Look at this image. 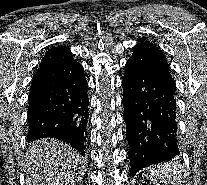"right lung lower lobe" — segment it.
Masks as SVG:
<instances>
[{"label":"right lung lower lobe","instance_id":"1","mask_svg":"<svg viewBox=\"0 0 207 185\" xmlns=\"http://www.w3.org/2000/svg\"><path fill=\"white\" fill-rule=\"evenodd\" d=\"M87 81L83 71L28 96V141L57 138L82 152L88 122Z\"/></svg>","mask_w":207,"mask_h":185}]
</instances>
